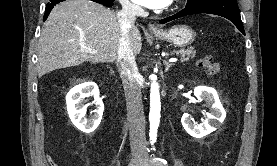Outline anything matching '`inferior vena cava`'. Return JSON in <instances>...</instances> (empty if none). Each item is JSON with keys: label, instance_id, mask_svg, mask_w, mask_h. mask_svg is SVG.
<instances>
[{"label": "inferior vena cava", "instance_id": "1", "mask_svg": "<svg viewBox=\"0 0 277 166\" xmlns=\"http://www.w3.org/2000/svg\"><path fill=\"white\" fill-rule=\"evenodd\" d=\"M122 10L117 13L121 29L118 45L117 62L123 75L127 116L130 130V147L134 157L146 154L145 117L143 112L141 89L138 84V69L129 41V30L134 25L136 15L141 8L128 0H120Z\"/></svg>", "mask_w": 277, "mask_h": 166}]
</instances>
